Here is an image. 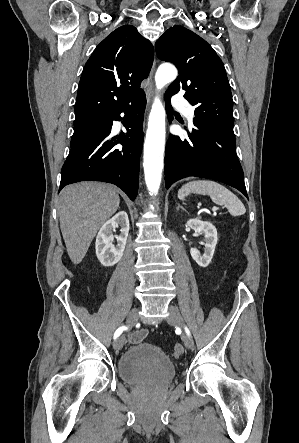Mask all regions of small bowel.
<instances>
[{"instance_id": "small-bowel-1", "label": "small bowel", "mask_w": 299, "mask_h": 443, "mask_svg": "<svg viewBox=\"0 0 299 443\" xmlns=\"http://www.w3.org/2000/svg\"><path fill=\"white\" fill-rule=\"evenodd\" d=\"M147 335L148 331L146 329H142L140 331L131 334L128 338V341L131 344H137L143 341L147 337Z\"/></svg>"}]
</instances>
